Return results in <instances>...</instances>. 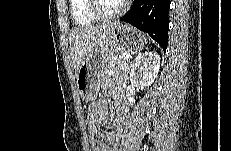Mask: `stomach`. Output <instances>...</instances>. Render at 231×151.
<instances>
[{
	"instance_id": "obj_1",
	"label": "stomach",
	"mask_w": 231,
	"mask_h": 151,
	"mask_svg": "<svg viewBox=\"0 0 231 151\" xmlns=\"http://www.w3.org/2000/svg\"><path fill=\"white\" fill-rule=\"evenodd\" d=\"M145 36L127 25H118L110 42L87 57L80 66L76 78L77 90L85 102H93L98 95L102 71L108 62L122 52H136L145 43Z\"/></svg>"
}]
</instances>
